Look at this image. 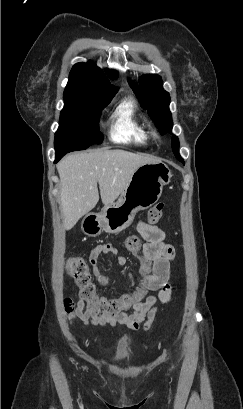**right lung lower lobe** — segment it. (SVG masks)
I'll return each instance as SVG.
<instances>
[{
    "instance_id": "obj_1",
    "label": "right lung lower lobe",
    "mask_w": 243,
    "mask_h": 409,
    "mask_svg": "<svg viewBox=\"0 0 243 409\" xmlns=\"http://www.w3.org/2000/svg\"><path fill=\"white\" fill-rule=\"evenodd\" d=\"M65 154H56L55 162H58Z\"/></svg>"
}]
</instances>
